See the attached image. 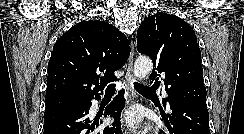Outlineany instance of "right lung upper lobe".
Wrapping results in <instances>:
<instances>
[{"label":"right lung upper lobe","mask_w":244,"mask_h":134,"mask_svg":"<svg viewBox=\"0 0 244 134\" xmlns=\"http://www.w3.org/2000/svg\"><path fill=\"white\" fill-rule=\"evenodd\" d=\"M129 54L127 38L108 22L91 20L76 24L53 47L45 101L99 97L98 92L107 83L117 80L114 72L126 63Z\"/></svg>","instance_id":"obj_1"}]
</instances>
